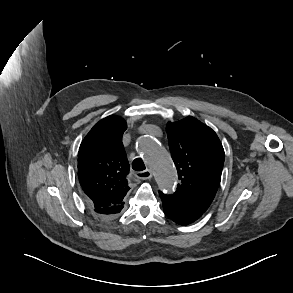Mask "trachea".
<instances>
[{"mask_svg": "<svg viewBox=\"0 0 293 293\" xmlns=\"http://www.w3.org/2000/svg\"><path fill=\"white\" fill-rule=\"evenodd\" d=\"M132 168L135 171H143L146 169L144 162L142 161L141 158H136L133 163H132Z\"/></svg>", "mask_w": 293, "mask_h": 293, "instance_id": "trachea-1", "label": "trachea"}]
</instances>
